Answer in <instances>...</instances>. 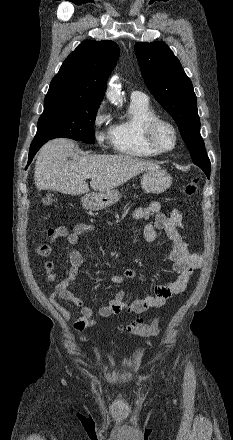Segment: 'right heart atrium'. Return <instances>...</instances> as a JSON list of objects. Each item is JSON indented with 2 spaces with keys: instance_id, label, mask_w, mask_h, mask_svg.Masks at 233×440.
<instances>
[{
  "instance_id": "right-heart-atrium-1",
  "label": "right heart atrium",
  "mask_w": 233,
  "mask_h": 440,
  "mask_svg": "<svg viewBox=\"0 0 233 440\" xmlns=\"http://www.w3.org/2000/svg\"><path fill=\"white\" fill-rule=\"evenodd\" d=\"M94 135L101 146L111 141L110 114L103 104L99 105L93 117Z\"/></svg>"
}]
</instances>
